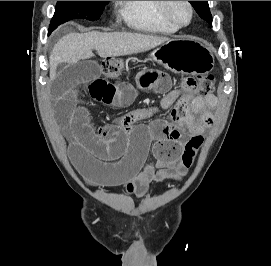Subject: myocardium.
<instances>
[{
	"label": "myocardium",
	"mask_w": 271,
	"mask_h": 266,
	"mask_svg": "<svg viewBox=\"0 0 271 266\" xmlns=\"http://www.w3.org/2000/svg\"><path fill=\"white\" fill-rule=\"evenodd\" d=\"M174 3H175V1H164V4H163L164 15L166 16L168 21L170 23H172L177 28H184V27L189 26L192 23V21L194 19V15H195V9H194L192 2L191 1H184V3L188 6L189 11H190V18L187 23H180L174 18L173 14L171 12V7Z\"/></svg>",
	"instance_id": "obj_1"
}]
</instances>
